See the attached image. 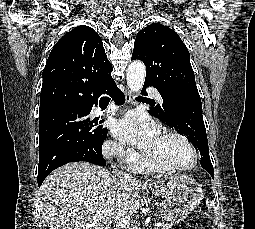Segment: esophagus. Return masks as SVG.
Instances as JSON below:
<instances>
[{"label": "esophagus", "mask_w": 255, "mask_h": 229, "mask_svg": "<svg viewBox=\"0 0 255 229\" xmlns=\"http://www.w3.org/2000/svg\"><path fill=\"white\" fill-rule=\"evenodd\" d=\"M125 99H126V102H127L128 104L133 103V101H134V95H133V93H132L130 90H128V89H126V91H125Z\"/></svg>", "instance_id": "esophagus-1"}]
</instances>
